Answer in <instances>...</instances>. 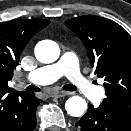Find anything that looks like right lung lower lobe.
I'll return each mask as SVG.
<instances>
[{
  "label": "right lung lower lobe",
  "instance_id": "obj_1",
  "mask_svg": "<svg viewBox=\"0 0 131 131\" xmlns=\"http://www.w3.org/2000/svg\"><path fill=\"white\" fill-rule=\"evenodd\" d=\"M41 102L32 92H1L0 131H33L36 126V108Z\"/></svg>",
  "mask_w": 131,
  "mask_h": 131
}]
</instances>
